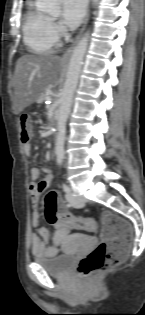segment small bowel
Returning <instances> with one entry per match:
<instances>
[{
    "mask_svg": "<svg viewBox=\"0 0 145 315\" xmlns=\"http://www.w3.org/2000/svg\"><path fill=\"white\" fill-rule=\"evenodd\" d=\"M31 144L24 143L23 150L27 155L31 154ZM42 172L46 173V176L39 180ZM31 182L29 184V194L31 202L34 207L32 214V225L36 228V233L31 236V250L33 255L37 257H54L58 254L60 245L66 235L73 229L71 225L64 220H59L55 226V233L51 235L50 231L45 227H40V214L38 210L39 198L42 193L46 191L52 181V175L46 168L32 167L30 170ZM52 241L53 245L48 246L47 243Z\"/></svg>",
    "mask_w": 145,
    "mask_h": 315,
    "instance_id": "c3829d8e",
    "label": "small bowel"
}]
</instances>
